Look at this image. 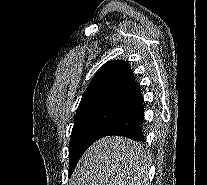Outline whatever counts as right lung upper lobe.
Masks as SVG:
<instances>
[{
  "mask_svg": "<svg viewBox=\"0 0 207 185\" xmlns=\"http://www.w3.org/2000/svg\"><path fill=\"white\" fill-rule=\"evenodd\" d=\"M141 96L127 62L112 60L96 72L81 98L77 113L95 108L125 111Z\"/></svg>",
  "mask_w": 207,
  "mask_h": 185,
  "instance_id": "1",
  "label": "right lung upper lobe"
}]
</instances>
